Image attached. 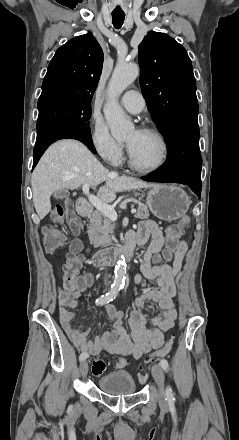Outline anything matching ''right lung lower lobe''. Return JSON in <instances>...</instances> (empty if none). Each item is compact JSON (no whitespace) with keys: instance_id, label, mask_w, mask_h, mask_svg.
Here are the masks:
<instances>
[{"instance_id":"98d812e1","label":"right lung lower lobe","mask_w":239,"mask_h":440,"mask_svg":"<svg viewBox=\"0 0 239 440\" xmlns=\"http://www.w3.org/2000/svg\"><path fill=\"white\" fill-rule=\"evenodd\" d=\"M64 138L77 139L84 143L93 153H96L90 131L66 124H49L37 130V139L33 151V168L50 144Z\"/></svg>"}]
</instances>
